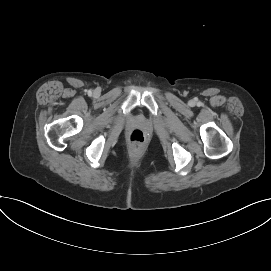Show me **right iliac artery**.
<instances>
[{
  "mask_svg": "<svg viewBox=\"0 0 271 271\" xmlns=\"http://www.w3.org/2000/svg\"><path fill=\"white\" fill-rule=\"evenodd\" d=\"M88 94H89V95H91V94H92V92H91V91H88Z\"/></svg>",
  "mask_w": 271,
  "mask_h": 271,
  "instance_id": "1",
  "label": "right iliac artery"
}]
</instances>
